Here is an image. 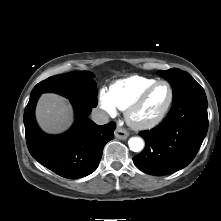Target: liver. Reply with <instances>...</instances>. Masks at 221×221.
Segmentation results:
<instances>
[{
    "label": "liver",
    "instance_id": "liver-1",
    "mask_svg": "<svg viewBox=\"0 0 221 221\" xmlns=\"http://www.w3.org/2000/svg\"><path fill=\"white\" fill-rule=\"evenodd\" d=\"M36 120L44 132L59 134L72 124L73 110L64 97L54 93H45L37 103Z\"/></svg>",
    "mask_w": 221,
    "mask_h": 221
}]
</instances>
